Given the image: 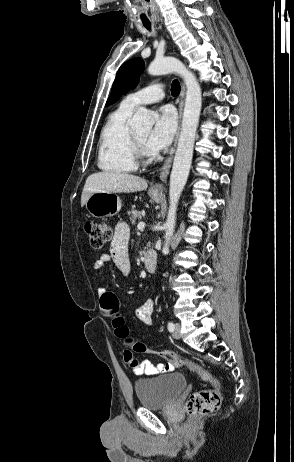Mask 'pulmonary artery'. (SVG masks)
<instances>
[{"label":"pulmonary artery","mask_w":294,"mask_h":462,"mask_svg":"<svg viewBox=\"0 0 294 462\" xmlns=\"http://www.w3.org/2000/svg\"><path fill=\"white\" fill-rule=\"evenodd\" d=\"M165 91L166 87L164 84H152L134 93H130L124 98L122 104L130 108H136L140 105L154 103L164 98Z\"/></svg>","instance_id":"e3ab8cb5"}]
</instances>
